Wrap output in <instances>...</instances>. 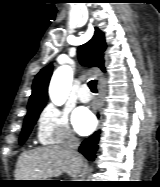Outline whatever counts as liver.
<instances>
[{
    "label": "liver",
    "instance_id": "1",
    "mask_svg": "<svg viewBox=\"0 0 160 187\" xmlns=\"http://www.w3.org/2000/svg\"><path fill=\"white\" fill-rule=\"evenodd\" d=\"M64 146H48L23 152L17 161L16 180H47L62 173L76 178L82 170Z\"/></svg>",
    "mask_w": 160,
    "mask_h": 187
}]
</instances>
